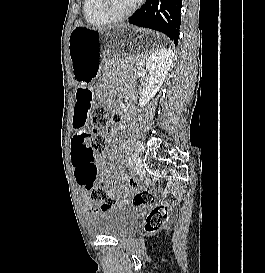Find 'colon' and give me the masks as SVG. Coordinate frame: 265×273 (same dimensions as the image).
Here are the masks:
<instances>
[{"mask_svg": "<svg viewBox=\"0 0 265 273\" xmlns=\"http://www.w3.org/2000/svg\"><path fill=\"white\" fill-rule=\"evenodd\" d=\"M78 103L75 105L71 125L73 128H88V124L93 128L94 133L91 136V144L89 145V154L95 156L105 151L107 140L105 131L110 124H119L122 120L121 114L111 111L101 105L94 104L93 93L86 87H81L77 92ZM96 168L88 174L81 172L79 174L82 186L91 191V199L100 203L101 206H109L112 200L108 196L109 190H114L118 196H124L126 190L120 187L115 180L103 179L99 185L94 186ZM131 202L135 205H145L151 203L154 199L153 194L143 188L135 187L131 191ZM169 208L163 204H156L148 213L145 220L144 229L147 233H156L165 226L169 219Z\"/></svg>", "mask_w": 265, "mask_h": 273, "instance_id": "colon-1", "label": "colon"}]
</instances>
